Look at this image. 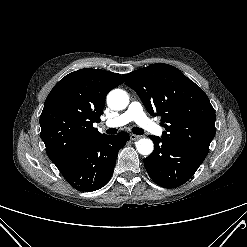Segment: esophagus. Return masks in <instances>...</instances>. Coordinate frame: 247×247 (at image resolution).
I'll return each instance as SVG.
<instances>
[{
  "label": "esophagus",
  "mask_w": 247,
  "mask_h": 247,
  "mask_svg": "<svg viewBox=\"0 0 247 247\" xmlns=\"http://www.w3.org/2000/svg\"><path fill=\"white\" fill-rule=\"evenodd\" d=\"M140 138H141V136H139V135L130 134V139H131L132 141L138 140V139H140Z\"/></svg>",
  "instance_id": "34e87169"
}]
</instances>
